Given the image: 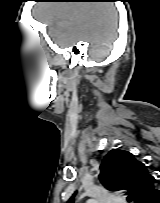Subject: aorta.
Returning <instances> with one entry per match:
<instances>
[{
	"label": "aorta",
	"mask_w": 160,
	"mask_h": 203,
	"mask_svg": "<svg viewBox=\"0 0 160 203\" xmlns=\"http://www.w3.org/2000/svg\"><path fill=\"white\" fill-rule=\"evenodd\" d=\"M87 203H96L94 200H89Z\"/></svg>",
	"instance_id": "obj_1"
}]
</instances>
